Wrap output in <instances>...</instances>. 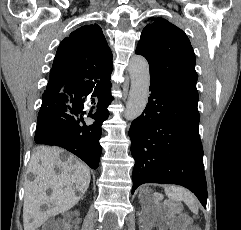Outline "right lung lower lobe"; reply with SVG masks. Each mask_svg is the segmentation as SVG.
I'll list each match as a JSON object with an SVG mask.
<instances>
[{
    "mask_svg": "<svg viewBox=\"0 0 241 230\" xmlns=\"http://www.w3.org/2000/svg\"><path fill=\"white\" fill-rule=\"evenodd\" d=\"M110 80L69 82L60 89H46L38 114L35 133L37 144L55 145L72 152L92 169H97L101 156V125L109 116ZM91 109L84 111V103ZM83 115L90 120L84 121Z\"/></svg>",
    "mask_w": 241,
    "mask_h": 230,
    "instance_id": "right-lung-lower-lobe-1",
    "label": "right lung lower lobe"
}]
</instances>
